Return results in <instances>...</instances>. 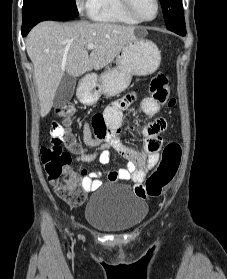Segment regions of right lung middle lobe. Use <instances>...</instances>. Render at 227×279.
Returning a JSON list of instances; mask_svg holds the SVG:
<instances>
[{
    "mask_svg": "<svg viewBox=\"0 0 227 279\" xmlns=\"http://www.w3.org/2000/svg\"><path fill=\"white\" fill-rule=\"evenodd\" d=\"M38 5H48L72 17L78 16L75 0H24L22 16L27 15Z\"/></svg>",
    "mask_w": 227,
    "mask_h": 279,
    "instance_id": "1",
    "label": "right lung middle lobe"
}]
</instances>
